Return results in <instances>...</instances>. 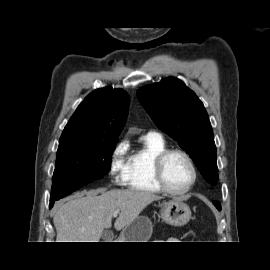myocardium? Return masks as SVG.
<instances>
[{
  "label": "myocardium",
  "instance_id": "1",
  "mask_svg": "<svg viewBox=\"0 0 270 270\" xmlns=\"http://www.w3.org/2000/svg\"><path fill=\"white\" fill-rule=\"evenodd\" d=\"M172 154H180L182 155L188 162L191 171H192V180L189 183V185L183 189H173L171 188L164 176V163L166 159L172 155ZM153 176L155 179V182L157 185L166 193L173 194V195H183L185 193H188L196 184L197 177H198V172H197V167L195 165L194 160L190 156L188 152H186L183 149L180 148H170V149H165L162 152H160L154 159L153 161Z\"/></svg>",
  "mask_w": 270,
  "mask_h": 270
}]
</instances>
